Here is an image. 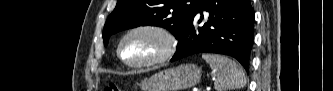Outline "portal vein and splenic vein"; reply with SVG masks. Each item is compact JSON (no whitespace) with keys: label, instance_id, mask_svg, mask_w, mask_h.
Masks as SVG:
<instances>
[{"label":"portal vein and splenic vein","instance_id":"portal-vein-and-splenic-vein-1","mask_svg":"<svg viewBox=\"0 0 333 91\" xmlns=\"http://www.w3.org/2000/svg\"><path fill=\"white\" fill-rule=\"evenodd\" d=\"M192 91H198V89L197 88H193V90Z\"/></svg>","mask_w":333,"mask_h":91}]
</instances>
